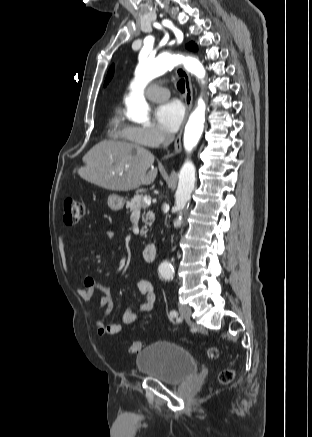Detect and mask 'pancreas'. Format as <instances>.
Returning a JSON list of instances; mask_svg holds the SVG:
<instances>
[{
    "mask_svg": "<svg viewBox=\"0 0 312 437\" xmlns=\"http://www.w3.org/2000/svg\"><path fill=\"white\" fill-rule=\"evenodd\" d=\"M148 205L144 202L142 195H135L130 201L127 202L126 208L129 209L131 212H135L141 209L147 208ZM155 219V216L152 211H149L146 214V217L144 219L145 226L141 229L140 234L143 236L147 234V225L151 226L153 221Z\"/></svg>",
    "mask_w": 312,
    "mask_h": 437,
    "instance_id": "obj_1",
    "label": "pancreas"
}]
</instances>
